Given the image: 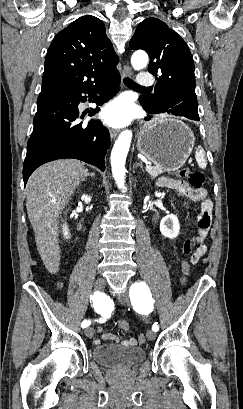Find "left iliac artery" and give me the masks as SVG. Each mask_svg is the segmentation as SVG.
<instances>
[{
  "mask_svg": "<svg viewBox=\"0 0 243 409\" xmlns=\"http://www.w3.org/2000/svg\"><path fill=\"white\" fill-rule=\"evenodd\" d=\"M149 292L148 286L144 282L134 283L130 289V299L132 301L133 306L135 309L138 307L137 302L147 301L153 304L147 296ZM152 300V299H151ZM152 330L157 332L159 330V326L157 323H154L152 326Z\"/></svg>",
  "mask_w": 243,
  "mask_h": 409,
  "instance_id": "44dca946",
  "label": "left iliac artery"
}]
</instances>
